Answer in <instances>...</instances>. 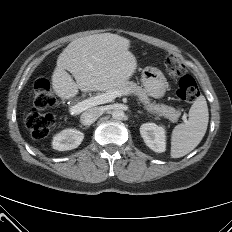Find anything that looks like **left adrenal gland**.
Masks as SVG:
<instances>
[{
  "instance_id": "a2214340",
  "label": "left adrenal gland",
  "mask_w": 232,
  "mask_h": 232,
  "mask_svg": "<svg viewBox=\"0 0 232 232\" xmlns=\"http://www.w3.org/2000/svg\"><path fill=\"white\" fill-rule=\"evenodd\" d=\"M138 113L142 114V112H141V111H138Z\"/></svg>"
}]
</instances>
